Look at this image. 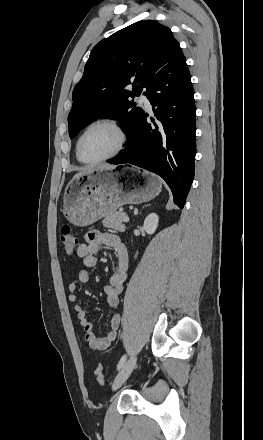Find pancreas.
Wrapping results in <instances>:
<instances>
[{
	"instance_id": "pancreas-1",
	"label": "pancreas",
	"mask_w": 263,
	"mask_h": 440,
	"mask_svg": "<svg viewBox=\"0 0 263 440\" xmlns=\"http://www.w3.org/2000/svg\"><path fill=\"white\" fill-rule=\"evenodd\" d=\"M126 214L122 211L113 213L107 216L103 221V225L108 228H112L115 231L123 232L125 231V224L123 223V216Z\"/></svg>"
}]
</instances>
